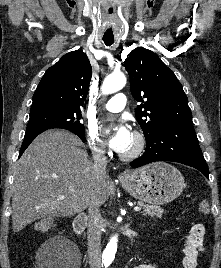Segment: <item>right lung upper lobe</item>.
I'll return each instance as SVG.
<instances>
[{"label": "right lung upper lobe", "mask_w": 221, "mask_h": 268, "mask_svg": "<svg viewBox=\"0 0 221 268\" xmlns=\"http://www.w3.org/2000/svg\"><path fill=\"white\" fill-rule=\"evenodd\" d=\"M92 67L87 55L76 50L62 56L43 75L33 95L30 113L52 110L81 111Z\"/></svg>", "instance_id": "right-lung-upper-lobe-1"}]
</instances>
